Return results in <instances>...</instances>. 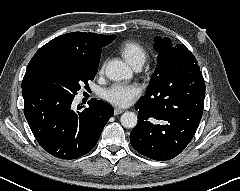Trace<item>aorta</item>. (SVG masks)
Instances as JSON below:
<instances>
[{"instance_id": "aorta-1", "label": "aorta", "mask_w": 240, "mask_h": 191, "mask_svg": "<svg viewBox=\"0 0 240 191\" xmlns=\"http://www.w3.org/2000/svg\"><path fill=\"white\" fill-rule=\"evenodd\" d=\"M106 76L113 81L132 78V70L121 60L109 61L106 69ZM121 124L125 128H134L137 125L138 118L134 112H125L120 118Z\"/></svg>"}]
</instances>
